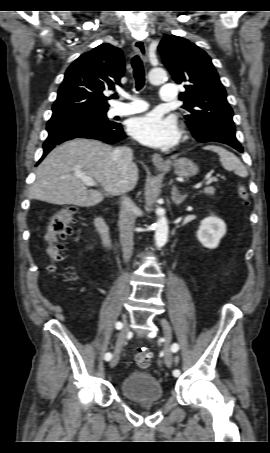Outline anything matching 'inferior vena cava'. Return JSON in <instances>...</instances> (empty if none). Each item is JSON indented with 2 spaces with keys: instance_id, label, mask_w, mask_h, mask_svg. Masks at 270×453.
Listing matches in <instances>:
<instances>
[{
  "instance_id": "602c4592",
  "label": "inferior vena cava",
  "mask_w": 270,
  "mask_h": 453,
  "mask_svg": "<svg viewBox=\"0 0 270 453\" xmlns=\"http://www.w3.org/2000/svg\"><path fill=\"white\" fill-rule=\"evenodd\" d=\"M112 157L119 168L126 170L132 165L133 151L128 147H118L113 150ZM121 207L119 214L120 243L123 251V258L128 262L133 253V228L135 223V205L126 196H121Z\"/></svg>"
}]
</instances>
